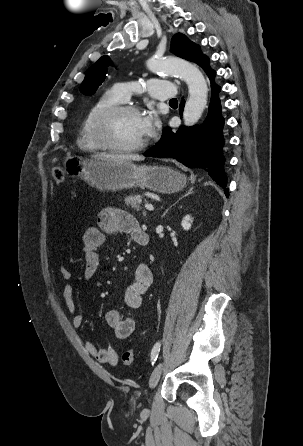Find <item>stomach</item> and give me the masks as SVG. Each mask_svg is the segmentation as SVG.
<instances>
[{
  "mask_svg": "<svg viewBox=\"0 0 303 446\" xmlns=\"http://www.w3.org/2000/svg\"><path fill=\"white\" fill-rule=\"evenodd\" d=\"M63 170L69 177L80 178L104 191L140 186L168 194L182 190L187 182L184 174L166 166H138L131 161L83 159L74 155L64 159Z\"/></svg>",
  "mask_w": 303,
  "mask_h": 446,
  "instance_id": "stomach-1",
  "label": "stomach"
}]
</instances>
